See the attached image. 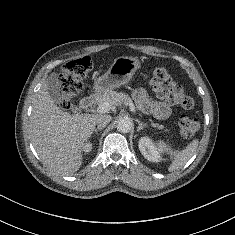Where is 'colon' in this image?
<instances>
[{
	"label": "colon",
	"mask_w": 235,
	"mask_h": 235,
	"mask_svg": "<svg viewBox=\"0 0 235 235\" xmlns=\"http://www.w3.org/2000/svg\"><path fill=\"white\" fill-rule=\"evenodd\" d=\"M92 68L89 57H81L69 61L59 76V104L64 110L71 107L73 99L83 89V79ZM150 84L157 95L172 105L190 109L194 102L164 68L150 67ZM180 132L185 137H192L199 129V121L192 116L184 115L179 120Z\"/></svg>",
	"instance_id": "colon-1"
}]
</instances>
